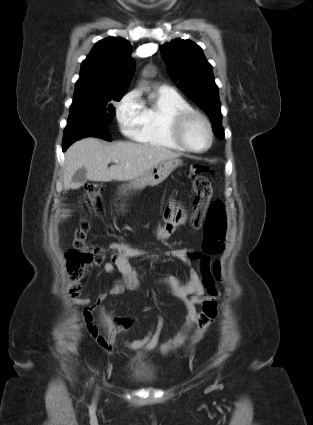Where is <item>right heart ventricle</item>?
<instances>
[{
  "label": "right heart ventricle",
  "instance_id": "e07e8e85",
  "mask_svg": "<svg viewBox=\"0 0 313 425\" xmlns=\"http://www.w3.org/2000/svg\"><path fill=\"white\" fill-rule=\"evenodd\" d=\"M188 109L192 108L177 92L157 89L142 104L141 125L132 137L148 146L186 151L172 135V120L177 112Z\"/></svg>",
  "mask_w": 313,
  "mask_h": 425
}]
</instances>
